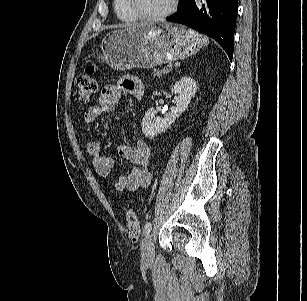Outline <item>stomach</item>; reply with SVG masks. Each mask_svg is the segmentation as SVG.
<instances>
[{
  "label": "stomach",
  "instance_id": "1",
  "mask_svg": "<svg viewBox=\"0 0 307 301\" xmlns=\"http://www.w3.org/2000/svg\"><path fill=\"white\" fill-rule=\"evenodd\" d=\"M206 44V37L182 25L140 24L108 33L97 59L118 71L152 68L185 59Z\"/></svg>",
  "mask_w": 307,
  "mask_h": 301
}]
</instances>
